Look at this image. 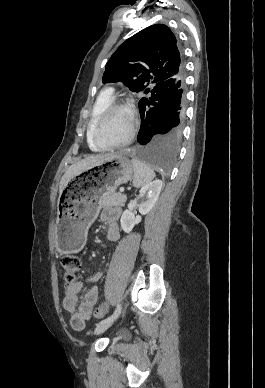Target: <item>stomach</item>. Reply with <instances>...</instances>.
Returning <instances> with one entry per match:
<instances>
[{
  "mask_svg": "<svg viewBox=\"0 0 265 388\" xmlns=\"http://www.w3.org/2000/svg\"><path fill=\"white\" fill-rule=\"evenodd\" d=\"M132 162L123 153H114L73 176L62 189L55 224L59 253H77L86 243L87 231L97 216L99 199L114 192L133 175Z\"/></svg>",
  "mask_w": 265,
  "mask_h": 388,
  "instance_id": "0dacf381",
  "label": "stomach"
}]
</instances>
